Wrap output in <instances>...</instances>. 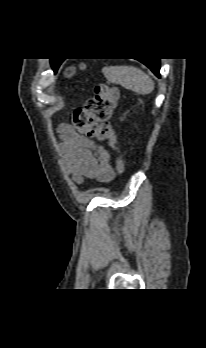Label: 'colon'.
Returning <instances> with one entry per match:
<instances>
[{
  "label": "colon",
  "mask_w": 206,
  "mask_h": 348,
  "mask_svg": "<svg viewBox=\"0 0 206 348\" xmlns=\"http://www.w3.org/2000/svg\"><path fill=\"white\" fill-rule=\"evenodd\" d=\"M72 72L71 67L66 70L67 75ZM118 98L117 88L107 84L97 85L94 95L86 101L84 107L73 113L72 124L80 133L108 142L116 155V170L122 173L125 170V160L118 147L115 130L109 122Z\"/></svg>",
  "instance_id": "1"
}]
</instances>
